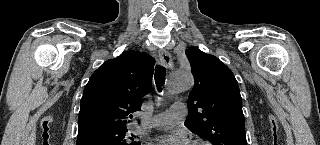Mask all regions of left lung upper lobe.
Returning a JSON list of instances; mask_svg holds the SVG:
<instances>
[{
	"label": "left lung upper lobe",
	"mask_w": 320,
	"mask_h": 145,
	"mask_svg": "<svg viewBox=\"0 0 320 145\" xmlns=\"http://www.w3.org/2000/svg\"><path fill=\"white\" fill-rule=\"evenodd\" d=\"M185 53L195 79L185 126L213 145H247L242 98L232 71L196 47Z\"/></svg>",
	"instance_id": "1"
}]
</instances>
